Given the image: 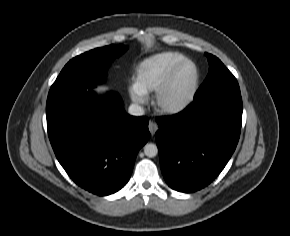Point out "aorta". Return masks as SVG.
<instances>
[{
  "mask_svg": "<svg viewBox=\"0 0 290 236\" xmlns=\"http://www.w3.org/2000/svg\"><path fill=\"white\" fill-rule=\"evenodd\" d=\"M144 153L147 157H155L158 154V148L155 144L153 143H147L144 146Z\"/></svg>",
  "mask_w": 290,
  "mask_h": 236,
  "instance_id": "762f6f07",
  "label": "aorta"
}]
</instances>
